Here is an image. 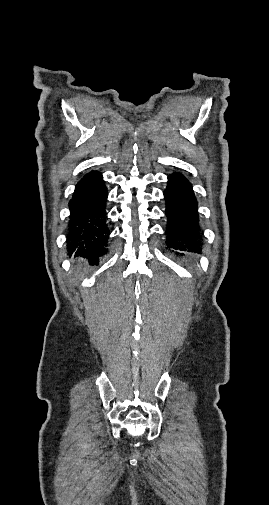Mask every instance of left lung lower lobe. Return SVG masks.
Listing matches in <instances>:
<instances>
[{
	"mask_svg": "<svg viewBox=\"0 0 269 505\" xmlns=\"http://www.w3.org/2000/svg\"><path fill=\"white\" fill-rule=\"evenodd\" d=\"M166 200L167 246L175 250L200 252L201 233L197 202L191 184L180 174L169 176Z\"/></svg>",
	"mask_w": 269,
	"mask_h": 505,
	"instance_id": "obj_1",
	"label": "left lung lower lobe"
}]
</instances>
